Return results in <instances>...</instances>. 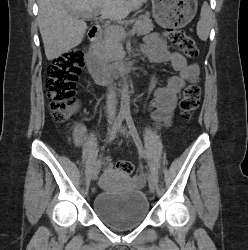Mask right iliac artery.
Listing matches in <instances>:
<instances>
[{
    "label": "right iliac artery",
    "mask_w": 248,
    "mask_h": 250,
    "mask_svg": "<svg viewBox=\"0 0 248 250\" xmlns=\"http://www.w3.org/2000/svg\"><path fill=\"white\" fill-rule=\"evenodd\" d=\"M124 118H125V114L120 112V113L118 114V116L116 117V119H115V122H114V124H113V126H112V129H111V131H110V133H109V135H108L106 144L102 147V150H104L105 147H106V145H107L111 140H113V139L116 137V134H117L119 128L121 127V124H122ZM96 163H101V160L98 159V161H97Z\"/></svg>",
    "instance_id": "obj_1"
}]
</instances>
